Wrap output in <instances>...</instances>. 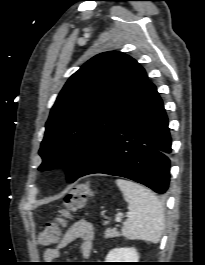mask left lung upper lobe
<instances>
[{"instance_id":"left-lung-upper-lobe-1","label":"left lung upper lobe","mask_w":205,"mask_h":265,"mask_svg":"<svg viewBox=\"0 0 205 265\" xmlns=\"http://www.w3.org/2000/svg\"><path fill=\"white\" fill-rule=\"evenodd\" d=\"M148 84L145 70L122 52H104L87 61L69 78L51 109L39 170L65 168L68 182H74Z\"/></svg>"}]
</instances>
